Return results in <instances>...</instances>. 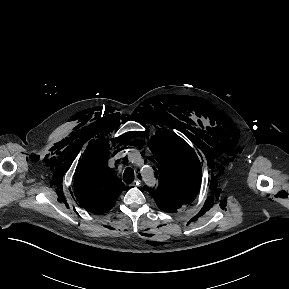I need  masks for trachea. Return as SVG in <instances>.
<instances>
[{"instance_id": "trachea-1", "label": "trachea", "mask_w": 289, "mask_h": 289, "mask_svg": "<svg viewBox=\"0 0 289 289\" xmlns=\"http://www.w3.org/2000/svg\"><path fill=\"white\" fill-rule=\"evenodd\" d=\"M123 180L125 183L130 184L134 181V171L131 168H126L123 174Z\"/></svg>"}]
</instances>
